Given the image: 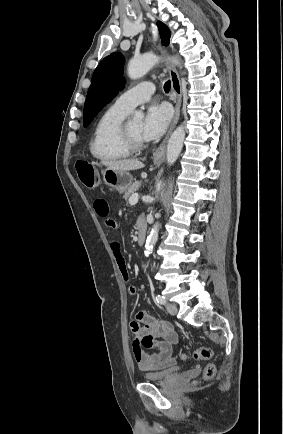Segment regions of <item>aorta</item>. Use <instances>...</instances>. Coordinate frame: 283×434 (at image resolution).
Instances as JSON below:
<instances>
[{
	"instance_id": "obj_1",
	"label": "aorta",
	"mask_w": 283,
	"mask_h": 434,
	"mask_svg": "<svg viewBox=\"0 0 283 434\" xmlns=\"http://www.w3.org/2000/svg\"><path fill=\"white\" fill-rule=\"evenodd\" d=\"M159 60L160 58L153 54H145L143 56L131 59L128 63V69H127L128 76L131 79H138L143 77L152 67H154L159 62ZM172 61L176 65H179L177 59H173ZM134 118L138 120L142 119L143 113L141 111H136L134 114ZM184 138H185V129L181 125L174 130V132L172 133L168 141L167 163L169 165H172L177 160L183 147ZM158 233H159V224L155 223L146 240V244H145L146 256H149L153 252L154 245L158 240Z\"/></svg>"
}]
</instances>
